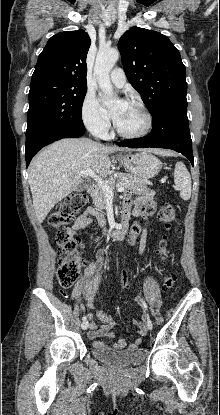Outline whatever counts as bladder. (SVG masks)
Segmentation results:
<instances>
[{"label":"bladder","instance_id":"31cf9c89","mask_svg":"<svg viewBox=\"0 0 220 415\" xmlns=\"http://www.w3.org/2000/svg\"><path fill=\"white\" fill-rule=\"evenodd\" d=\"M93 356L112 366L128 367L142 363L146 358V350L143 348L115 351L108 347H92Z\"/></svg>","mask_w":220,"mask_h":415}]
</instances>
